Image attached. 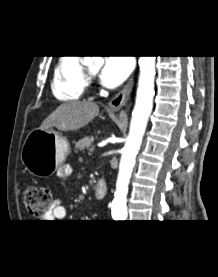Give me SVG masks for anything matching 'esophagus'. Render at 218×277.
Listing matches in <instances>:
<instances>
[{
	"mask_svg": "<svg viewBox=\"0 0 218 277\" xmlns=\"http://www.w3.org/2000/svg\"><path fill=\"white\" fill-rule=\"evenodd\" d=\"M134 79L131 77L127 84L108 103L110 109L120 110L128 101L133 88Z\"/></svg>",
	"mask_w": 218,
	"mask_h": 277,
	"instance_id": "1",
	"label": "esophagus"
}]
</instances>
